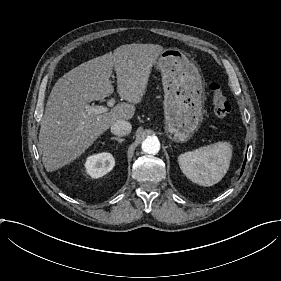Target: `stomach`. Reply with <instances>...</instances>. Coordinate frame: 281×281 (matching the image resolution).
<instances>
[{
  "label": "stomach",
  "mask_w": 281,
  "mask_h": 281,
  "mask_svg": "<svg viewBox=\"0 0 281 281\" xmlns=\"http://www.w3.org/2000/svg\"><path fill=\"white\" fill-rule=\"evenodd\" d=\"M154 67L162 76L167 133L174 141H187L203 118L205 85L201 70L176 47L163 49Z\"/></svg>",
  "instance_id": "obj_1"
}]
</instances>
